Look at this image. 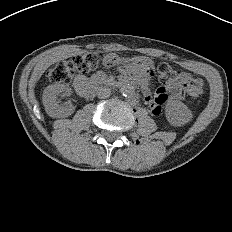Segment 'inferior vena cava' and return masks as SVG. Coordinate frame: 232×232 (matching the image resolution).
I'll return each instance as SVG.
<instances>
[{
  "instance_id": "inferior-vena-cava-1",
  "label": "inferior vena cava",
  "mask_w": 232,
  "mask_h": 232,
  "mask_svg": "<svg viewBox=\"0 0 232 232\" xmlns=\"http://www.w3.org/2000/svg\"><path fill=\"white\" fill-rule=\"evenodd\" d=\"M98 98L105 99L110 96L111 90L108 87L100 86L96 90Z\"/></svg>"
}]
</instances>
